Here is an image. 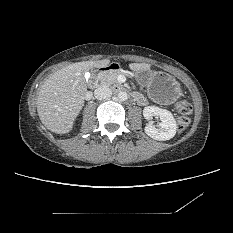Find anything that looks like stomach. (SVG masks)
I'll list each match as a JSON object with an SVG mask.
<instances>
[{
	"instance_id": "stomach-1",
	"label": "stomach",
	"mask_w": 233,
	"mask_h": 233,
	"mask_svg": "<svg viewBox=\"0 0 233 233\" xmlns=\"http://www.w3.org/2000/svg\"><path fill=\"white\" fill-rule=\"evenodd\" d=\"M134 73L139 84L147 87L148 95L156 102L170 104L181 95L180 84L166 72L147 69Z\"/></svg>"
}]
</instances>
